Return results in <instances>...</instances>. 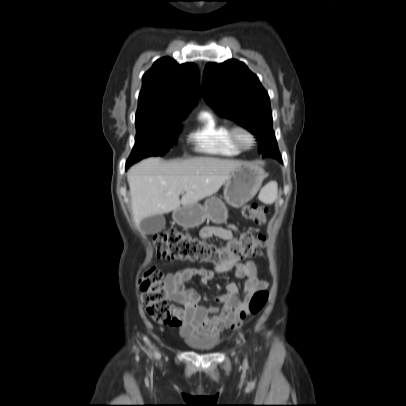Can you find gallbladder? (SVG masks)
Returning a JSON list of instances; mask_svg holds the SVG:
<instances>
[{
    "mask_svg": "<svg viewBox=\"0 0 406 406\" xmlns=\"http://www.w3.org/2000/svg\"><path fill=\"white\" fill-rule=\"evenodd\" d=\"M140 227L147 234L158 233L165 227V218L162 214L149 216L140 222Z\"/></svg>",
    "mask_w": 406,
    "mask_h": 406,
    "instance_id": "obj_1",
    "label": "gallbladder"
}]
</instances>
